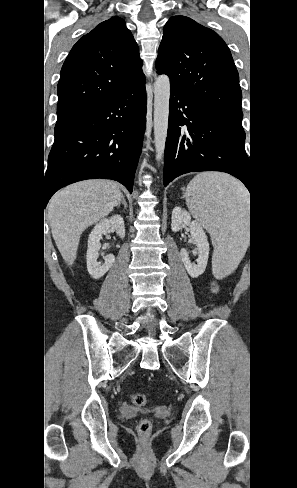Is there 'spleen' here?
<instances>
[{
    "instance_id": "spleen-1",
    "label": "spleen",
    "mask_w": 297,
    "mask_h": 488,
    "mask_svg": "<svg viewBox=\"0 0 297 488\" xmlns=\"http://www.w3.org/2000/svg\"><path fill=\"white\" fill-rule=\"evenodd\" d=\"M185 198L214 245V265L232 272L243 258L248 237L249 195L235 178L221 173H200L188 184Z\"/></svg>"
}]
</instances>
